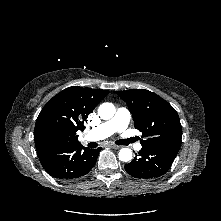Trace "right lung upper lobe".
<instances>
[{"instance_id": "cb5924a9", "label": "right lung upper lobe", "mask_w": 221, "mask_h": 221, "mask_svg": "<svg viewBox=\"0 0 221 221\" xmlns=\"http://www.w3.org/2000/svg\"><path fill=\"white\" fill-rule=\"evenodd\" d=\"M108 94L106 90L72 86L55 95L36 120V149L79 143L76 132L84 130V121Z\"/></svg>"}]
</instances>
